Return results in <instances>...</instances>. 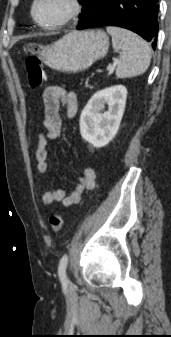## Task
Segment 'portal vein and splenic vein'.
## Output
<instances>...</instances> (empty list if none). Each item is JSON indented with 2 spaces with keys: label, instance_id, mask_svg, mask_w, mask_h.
<instances>
[{
  "label": "portal vein and splenic vein",
  "instance_id": "18ae733b",
  "mask_svg": "<svg viewBox=\"0 0 171 337\" xmlns=\"http://www.w3.org/2000/svg\"><path fill=\"white\" fill-rule=\"evenodd\" d=\"M118 62H119L118 59H114L113 64L108 66L109 75L114 72L115 67L118 64Z\"/></svg>",
  "mask_w": 171,
  "mask_h": 337
}]
</instances>
